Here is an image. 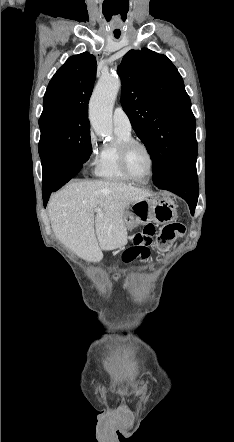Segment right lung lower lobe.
Instances as JSON below:
<instances>
[{
	"label": "right lung lower lobe",
	"mask_w": 234,
	"mask_h": 442,
	"mask_svg": "<svg viewBox=\"0 0 234 442\" xmlns=\"http://www.w3.org/2000/svg\"><path fill=\"white\" fill-rule=\"evenodd\" d=\"M41 163L43 203L46 207L50 194L73 178L80 171L83 163L69 153L47 156L41 159Z\"/></svg>",
	"instance_id": "1"
}]
</instances>
